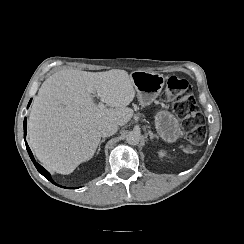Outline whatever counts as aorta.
<instances>
[{"label":"aorta","mask_w":244,"mask_h":244,"mask_svg":"<svg viewBox=\"0 0 244 244\" xmlns=\"http://www.w3.org/2000/svg\"><path fill=\"white\" fill-rule=\"evenodd\" d=\"M141 135L137 131H129L126 134V141L130 145H137L140 142Z\"/></svg>","instance_id":"762f6f07"}]
</instances>
